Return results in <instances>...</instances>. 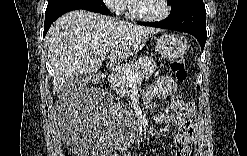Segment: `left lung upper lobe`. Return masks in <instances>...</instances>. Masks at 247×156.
Wrapping results in <instances>:
<instances>
[{
    "instance_id": "obj_1",
    "label": "left lung upper lobe",
    "mask_w": 247,
    "mask_h": 156,
    "mask_svg": "<svg viewBox=\"0 0 247 156\" xmlns=\"http://www.w3.org/2000/svg\"><path fill=\"white\" fill-rule=\"evenodd\" d=\"M192 0H171L170 5H171V12L170 15H173L175 13L180 12L187 3H189Z\"/></svg>"
}]
</instances>
